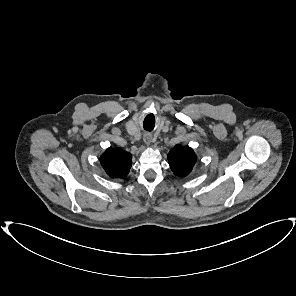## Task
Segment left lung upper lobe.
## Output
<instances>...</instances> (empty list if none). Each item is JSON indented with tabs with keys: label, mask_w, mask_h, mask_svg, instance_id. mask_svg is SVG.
I'll list each match as a JSON object with an SVG mask.
<instances>
[{
	"label": "left lung upper lobe",
	"mask_w": 296,
	"mask_h": 296,
	"mask_svg": "<svg viewBox=\"0 0 296 296\" xmlns=\"http://www.w3.org/2000/svg\"><path fill=\"white\" fill-rule=\"evenodd\" d=\"M170 167L177 176H187L195 162L196 155L189 146H175L168 154Z\"/></svg>",
	"instance_id": "left-lung-upper-lobe-1"
}]
</instances>
